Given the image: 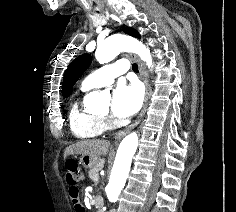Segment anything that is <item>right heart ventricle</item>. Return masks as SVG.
Returning <instances> with one entry per match:
<instances>
[{
    "label": "right heart ventricle",
    "mask_w": 236,
    "mask_h": 212,
    "mask_svg": "<svg viewBox=\"0 0 236 212\" xmlns=\"http://www.w3.org/2000/svg\"><path fill=\"white\" fill-rule=\"evenodd\" d=\"M89 90L82 85L80 87L81 94ZM69 121L73 134L81 139L95 138L107 129L103 117L92 114L83 108L80 96L76 97L71 103Z\"/></svg>",
    "instance_id": "right-heart-ventricle-1"
}]
</instances>
